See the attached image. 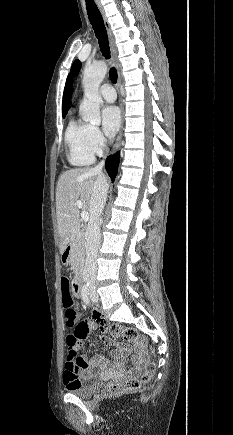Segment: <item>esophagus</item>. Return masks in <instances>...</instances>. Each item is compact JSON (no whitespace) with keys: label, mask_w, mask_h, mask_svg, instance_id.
Returning <instances> with one entry per match:
<instances>
[{"label":"esophagus","mask_w":233,"mask_h":435,"mask_svg":"<svg viewBox=\"0 0 233 435\" xmlns=\"http://www.w3.org/2000/svg\"><path fill=\"white\" fill-rule=\"evenodd\" d=\"M95 2H96V5H97V7H98V9H99V11H100V13L102 15L103 21H104V25H105V28H106V31H107V35H108V39H109V45H110L112 60H113V63L115 65L116 69H117V72H118V90H119V101H120V111H121V126H120V130H119L116 142H115V144L113 146L112 152L114 153V152H116L120 148L121 140H122V135H123V129H124V106H123L122 94H121V82H122V79H121V73H120V63H119V60H118V52H117V48H116V45H115L114 35H113L112 30H111L110 23H109V21H108V19L106 17L104 8H103L100 0H95Z\"/></svg>","instance_id":"1"}]
</instances>
